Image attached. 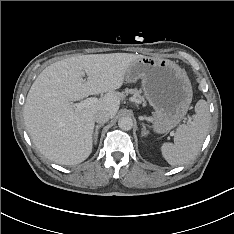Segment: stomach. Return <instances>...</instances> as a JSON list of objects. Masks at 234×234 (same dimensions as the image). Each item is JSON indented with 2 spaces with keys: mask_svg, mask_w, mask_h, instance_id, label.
I'll return each mask as SVG.
<instances>
[{
  "mask_svg": "<svg viewBox=\"0 0 234 234\" xmlns=\"http://www.w3.org/2000/svg\"><path fill=\"white\" fill-rule=\"evenodd\" d=\"M142 80L147 101L154 109L153 128L166 133L185 117L192 101V86L187 73L175 62L144 56L134 61L124 74L130 83Z\"/></svg>",
  "mask_w": 234,
  "mask_h": 234,
  "instance_id": "obj_1",
  "label": "stomach"
}]
</instances>
